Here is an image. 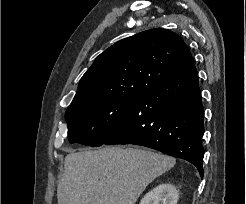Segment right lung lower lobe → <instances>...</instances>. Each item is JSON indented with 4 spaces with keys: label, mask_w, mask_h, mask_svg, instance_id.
Here are the masks:
<instances>
[{
    "label": "right lung lower lobe",
    "mask_w": 246,
    "mask_h": 204,
    "mask_svg": "<svg viewBox=\"0 0 246 204\" xmlns=\"http://www.w3.org/2000/svg\"><path fill=\"white\" fill-rule=\"evenodd\" d=\"M204 110L195 65L134 101L122 126L104 143L135 144L191 162L203 177Z\"/></svg>",
    "instance_id": "right-lung-lower-lobe-1"
}]
</instances>
